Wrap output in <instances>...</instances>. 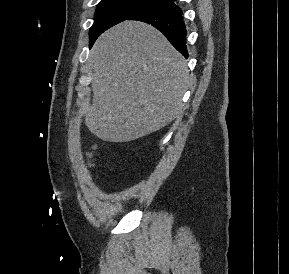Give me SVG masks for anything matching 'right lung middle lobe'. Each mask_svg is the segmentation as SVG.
I'll use <instances>...</instances> for the list:
<instances>
[{
  "label": "right lung middle lobe",
  "mask_w": 289,
  "mask_h": 274,
  "mask_svg": "<svg viewBox=\"0 0 289 274\" xmlns=\"http://www.w3.org/2000/svg\"><path fill=\"white\" fill-rule=\"evenodd\" d=\"M161 2L162 0H101L89 32L90 47L105 30Z\"/></svg>",
  "instance_id": "obj_1"
}]
</instances>
